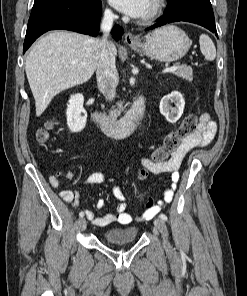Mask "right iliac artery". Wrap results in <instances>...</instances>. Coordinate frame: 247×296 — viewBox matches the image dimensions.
<instances>
[{
  "mask_svg": "<svg viewBox=\"0 0 247 296\" xmlns=\"http://www.w3.org/2000/svg\"><path fill=\"white\" fill-rule=\"evenodd\" d=\"M79 216L82 218L84 216V213L83 212H80L79 213Z\"/></svg>",
  "mask_w": 247,
  "mask_h": 296,
  "instance_id": "82829eb1",
  "label": "right iliac artery"
}]
</instances>
